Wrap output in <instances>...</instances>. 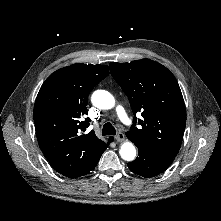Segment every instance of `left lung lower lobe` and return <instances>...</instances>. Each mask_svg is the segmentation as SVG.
Here are the masks:
<instances>
[{
    "instance_id": "1",
    "label": "left lung lower lobe",
    "mask_w": 221,
    "mask_h": 221,
    "mask_svg": "<svg viewBox=\"0 0 221 221\" xmlns=\"http://www.w3.org/2000/svg\"><path fill=\"white\" fill-rule=\"evenodd\" d=\"M138 155L139 156L134 161L128 163V167L135 174L145 178L160 174L173 160L172 157L160 155L140 147H138Z\"/></svg>"
}]
</instances>
